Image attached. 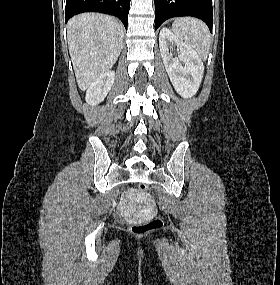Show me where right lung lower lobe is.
Returning <instances> with one entry per match:
<instances>
[{
  "instance_id": "right-lung-lower-lobe-1",
  "label": "right lung lower lobe",
  "mask_w": 280,
  "mask_h": 285,
  "mask_svg": "<svg viewBox=\"0 0 280 285\" xmlns=\"http://www.w3.org/2000/svg\"><path fill=\"white\" fill-rule=\"evenodd\" d=\"M130 0H66L65 22L82 12H102L117 16L127 29Z\"/></svg>"
}]
</instances>
